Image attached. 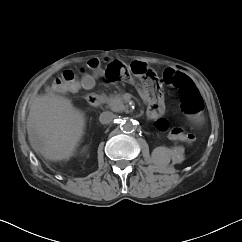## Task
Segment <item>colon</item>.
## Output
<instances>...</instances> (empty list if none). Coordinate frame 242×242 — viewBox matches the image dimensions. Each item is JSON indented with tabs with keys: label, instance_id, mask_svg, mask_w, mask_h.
<instances>
[{
	"label": "colon",
	"instance_id": "5ec220e1",
	"mask_svg": "<svg viewBox=\"0 0 242 242\" xmlns=\"http://www.w3.org/2000/svg\"><path fill=\"white\" fill-rule=\"evenodd\" d=\"M101 70V63L98 60H92L87 66V71L90 74H96ZM86 69L82 68L79 71L65 70L58 77H56L50 87L49 91L52 93H70L75 92L83 87V80L86 75ZM135 76L142 80L145 90L150 95L159 97L162 94V88L157 80L154 71L147 67L146 64L140 62H133L122 68L117 61H105V69L102 70L101 77L107 81L115 82L124 77ZM164 81L179 90L181 99V107L184 112L189 115H197L203 106L202 97L192 83L190 78L184 73L178 71L167 70L164 73ZM157 126L160 131H169L170 135L178 140L185 141L187 134L180 127H174L169 130L168 122L164 118H159ZM189 141L193 140V136L188 137Z\"/></svg>",
	"mask_w": 242,
	"mask_h": 242
}]
</instances>
